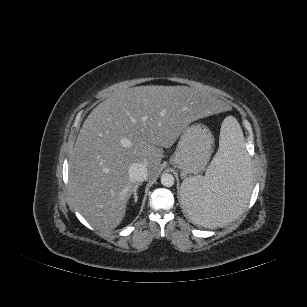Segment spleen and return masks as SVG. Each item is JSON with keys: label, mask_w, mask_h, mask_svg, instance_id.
<instances>
[{"label": "spleen", "mask_w": 307, "mask_h": 307, "mask_svg": "<svg viewBox=\"0 0 307 307\" xmlns=\"http://www.w3.org/2000/svg\"><path fill=\"white\" fill-rule=\"evenodd\" d=\"M250 193V157L238 121L229 116L222 122L219 149L205 176L182 182V205L195 224L217 228L242 213Z\"/></svg>", "instance_id": "3e777b00"}]
</instances>
